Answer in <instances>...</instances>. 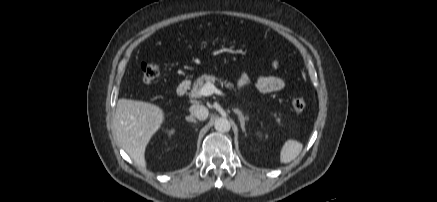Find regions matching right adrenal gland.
Instances as JSON below:
<instances>
[{
    "mask_svg": "<svg viewBox=\"0 0 437 202\" xmlns=\"http://www.w3.org/2000/svg\"><path fill=\"white\" fill-rule=\"evenodd\" d=\"M185 119H186V121H188V122H193L194 124L197 123V120L194 119L192 116H187Z\"/></svg>",
    "mask_w": 437,
    "mask_h": 202,
    "instance_id": "2a0ac1e0",
    "label": "right adrenal gland"
}]
</instances>
